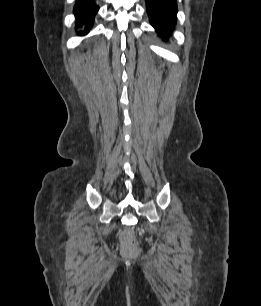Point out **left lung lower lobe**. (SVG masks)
<instances>
[{"label": "left lung lower lobe", "instance_id": "obj_1", "mask_svg": "<svg viewBox=\"0 0 261 306\" xmlns=\"http://www.w3.org/2000/svg\"><path fill=\"white\" fill-rule=\"evenodd\" d=\"M151 25L166 39L177 19L176 0H146Z\"/></svg>", "mask_w": 261, "mask_h": 306}]
</instances>
